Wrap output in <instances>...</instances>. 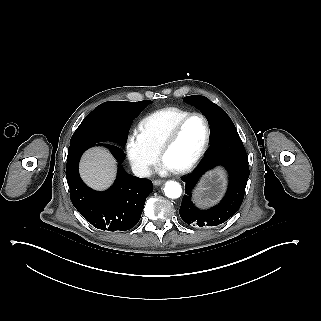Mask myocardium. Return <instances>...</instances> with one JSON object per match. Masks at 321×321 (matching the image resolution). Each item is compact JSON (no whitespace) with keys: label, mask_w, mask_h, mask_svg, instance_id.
I'll return each mask as SVG.
<instances>
[{"label":"myocardium","mask_w":321,"mask_h":321,"mask_svg":"<svg viewBox=\"0 0 321 321\" xmlns=\"http://www.w3.org/2000/svg\"><path fill=\"white\" fill-rule=\"evenodd\" d=\"M193 117L201 118L204 123V127H205L204 140L201 145V148L199 149V151L196 154V156L194 157V159L187 166L180 168V169H176L177 172L181 173V174H187V173H190L193 170H195L198 167V165L200 164V162L202 161V159L204 158V156L208 150V147L210 144L211 130H210V124H209L207 118L204 115H202L201 113H196V112L190 113V114L182 117L170 128V130L168 131V133L164 137V139L161 142V145L159 147V154L161 157H164V154H165L167 148L175 141L181 127L188 120H190Z\"/></svg>","instance_id":"f54148a6"}]
</instances>
